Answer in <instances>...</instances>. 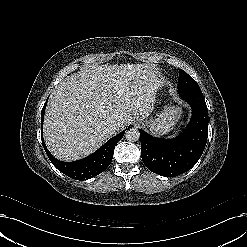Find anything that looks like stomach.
Listing matches in <instances>:
<instances>
[{
  "mask_svg": "<svg viewBox=\"0 0 247 247\" xmlns=\"http://www.w3.org/2000/svg\"><path fill=\"white\" fill-rule=\"evenodd\" d=\"M182 108L179 106H165L164 110L155 118L143 120L142 124L154 135H164L170 132L182 116Z\"/></svg>",
  "mask_w": 247,
  "mask_h": 247,
  "instance_id": "1",
  "label": "stomach"
}]
</instances>
